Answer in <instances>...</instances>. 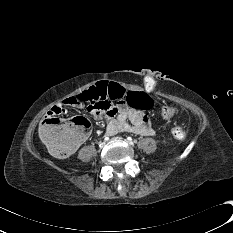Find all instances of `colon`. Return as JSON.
Instances as JSON below:
<instances>
[{"label": "colon", "mask_w": 233, "mask_h": 233, "mask_svg": "<svg viewBox=\"0 0 233 233\" xmlns=\"http://www.w3.org/2000/svg\"><path fill=\"white\" fill-rule=\"evenodd\" d=\"M77 103L91 104L109 98L116 103L119 100L126 102L125 106L135 109L148 110L151 101L147 95L138 90L128 91L125 86L120 85L114 79H107L104 82H97L92 88L74 97ZM177 112L173 105L163 106L161 117L169 119ZM90 131V123L82 117H76L70 122L63 123L56 115L47 116L41 123L39 134L41 139L50 151L59 158H66L72 155L76 147L86 138ZM171 135L177 140H184L187 131L181 126L171 129Z\"/></svg>", "instance_id": "obj_1"}]
</instances>
